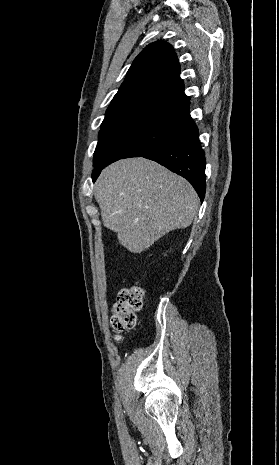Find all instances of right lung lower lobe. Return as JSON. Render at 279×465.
Wrapping results in <instances>:
<instances>
[{"label":"right lung lower lobe","mask_w":279,"mask_h":465,"mask_svg":"<svg viewBox=\"0 0 279 465\" xmlns=\"http://www.w3.org/2000/svg\"><path fill=\"white\" fill-rule=\"evenodd\" d=\"M143 157L156 161L187 179L198 193L201 202L204 200L206 189L205 154L198 138V128L191 117H188L180 125L179 131L168 143ZM103 168L93 170V181L96 180Z\"/></svg>","instance_id":"obj_1"}]
</instances>
